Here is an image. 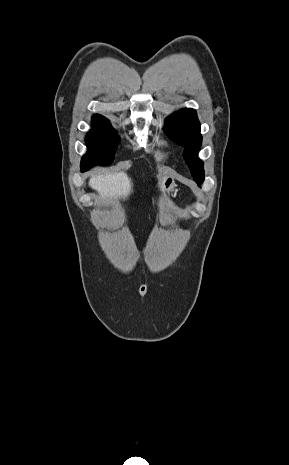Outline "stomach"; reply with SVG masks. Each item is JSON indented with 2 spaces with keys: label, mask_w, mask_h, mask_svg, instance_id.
<instances>
[{
  "label": "stomach",
  "mask_w": 289,
  "mask_h": 465,
  "mask_svg": "<svg viewBox=\"0 0 289 465\" xmlns=\"http://www.w3.org/2000/svg\"><path fill=\"white\" fill-rule=\"evenodd\" d=\"M160 190L163 192L170 193L176 188V183L172 177L162 176L158 181Z\"/></svg>",
  "instance_id": "stomach-1"
}]
</instances>
